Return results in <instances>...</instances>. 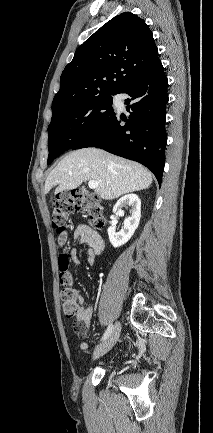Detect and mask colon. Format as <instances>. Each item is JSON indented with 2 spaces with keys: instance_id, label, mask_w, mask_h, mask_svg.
Returning <instances> with one entry per match:
<instances>
[{
  "instance_id": "colon-1",
  "label": "colon",
  "mask_w": 213,
  "mask_h": 433,
  "mask_svg": "<svg viewBox=\"0 0 213 433\" xmlns=\"http://www.w3.org/2000/svg\"><path fill=\"white\" fill-rule=\"evenodd\" d=\"M83 211L98 227L104 224V208L98 196L82 189L72 190L61 194L55 201L52 212V225L58 233L67 229L71 214L74 211ZM70 260L68 254L63 252L58 258L61 271L60 281L63 286L60 298L64 315L75 318L79 311L78 291L72 286V277L68 273ZM75 332L80 335L81 324L75 325Z\"/></svg>"
}]
</instances>
